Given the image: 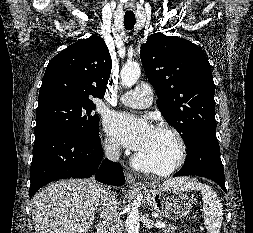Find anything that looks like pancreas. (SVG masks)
I'll return each instance as SVG.
<instances>
[{"mask_svg":"<svg viewBox=\"0 0 253 233\" xmlns=\"http://www.w3.org/2000/svg\"><path fill=\"white\" fill-rule=\"evenodd\" d=\"M176 226L169 224L167 228L163 229L164 233H174Z\"/></svg>","mask_w":253,"mask_h":233,"instance_id":"obj_1","label":"pancreas"}]
</instances>
